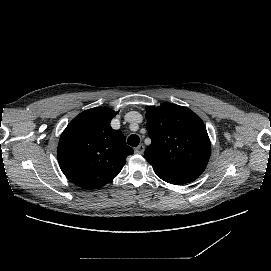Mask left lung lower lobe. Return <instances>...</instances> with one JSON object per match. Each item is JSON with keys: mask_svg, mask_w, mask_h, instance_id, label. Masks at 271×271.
I'll use <instances>...</instances> for the list:
<instances>
[{"mask_svg": "<svg viewBox=\"0 0 271 271\" xmlns=\"http://www.w3.org/2000/svg\"><path fill=\"white\" fill-rule=\"evenodd\" d=\"M153 169L155 173L162 180L171 184L182 185V184L192 182L197 178L196 176H191V175H186V174H181V173H176V172H171V171H163V170H159L155 168Z\"/></svg>", "mask_w": 271, "mask_h": 271, "instance_id": "1", "label": "left lung lower lobe"}]
</instances>
